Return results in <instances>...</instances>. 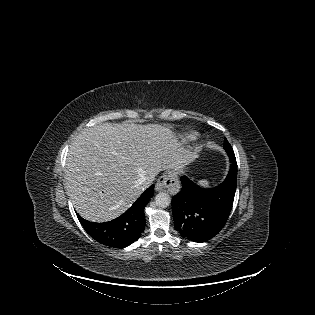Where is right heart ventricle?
Segmentation results:
<instances>
[{"instance_id":"right-heart-ventricle-1","label":"right heart ventricle","mask_w":315,"mask_h":315,"mask_svg":"<svg viewBox=\"0 0 315 315\" xmlns=\"http://www.w3.org/2000/svg\"><path fill=\"white\" fill-rule=\"evenodd\" d=\"M185 138L187 139V140H194L195 138H196V133H188V134H186L185 135Z\"/></svg>"}]
</instances>
